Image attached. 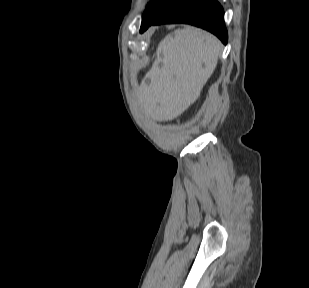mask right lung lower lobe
Returning a JSON list of instances; mask_svg holds the SVG:
<instances>
[{
    "label": "right lung lower lobe",
    "mask_w": 309,
    "mask_h": 288,
    "mask_svg": "<svg viewBox=\"0 0 309 288\" xmlns=\"http://www.w3.org/2000/svg\"><path fill=\"white\" fill-rule=\"evenodd\" d=\"M165 23L195 25L215 34L224 44L227 43L224 11L217 0H182L177 6L158 17L151 25ZM148 27L140 29V33Z\"/></svg>",
    "instance_id": "right-lung-lower-lobe-1"
}]
</instances>
